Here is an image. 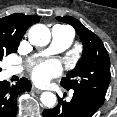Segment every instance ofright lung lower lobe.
<instances>
[{"instance_id": "1", "label": "right lung lower lobe", "mask_w": 117, "mask_h": 117, "mask_svg": "<svg viewBox=\"0 0 117 117\" xmlns=\"http://www.w3.org/2000/svg\"><path fill=\"white\" fill-rule=\"evenodd\" d=\"M31 90V83L22 78L15 85H9L6 81L0 82V117H15L17 113V96Z\"/></svg>"}]
</instances>
